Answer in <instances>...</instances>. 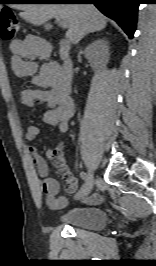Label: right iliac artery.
Returning a JSON list of instances; mask_svg holds the SVG:
<instances>
[{"instance_id": "82829eb1", "label": "right iliac artery", "mask_w": 156, "mask_h": 266, "mask_svg": "<svg viewBox=\"0 0 156 266\" xmlns=\"http://www.w3.org/2000/svg\"><path fill=\"white\" fill-rule=\"evenodd\" d=\"M80 177L83 179V180H86L87 179V174L85 172H80Z\"/></svg>"}]
</instances>
